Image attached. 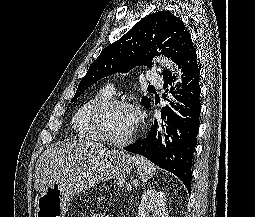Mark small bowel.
<instances>
[{
  "instance_id": "small-bowel-1",
  "label": "small bowel",
  "mask_w": 255,
  "mask_h": 217,
  "mask_svg": "<svg viewBox=\"0 0 255 217\" xmlns=\"http://www.w3.org/2000/svg\"><path fill=\"white\" fill-rule=\"evenodd\" d=\"M90 217H113V216L107 213H97V214L91 215Z\"/></svg>"
}]
</instances>
